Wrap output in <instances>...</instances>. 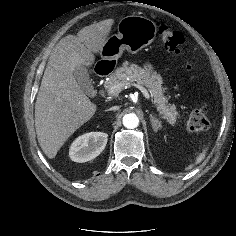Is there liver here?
Instances as JSON below:
<instances>
[{
    "instance_id": "1",
    "label": "liver",
    "mask_w": 236,
    "mask_h": 236,
    "mask_svg": "<svg viewBox=\"0 0 236 236\" xmlns=\"http://www.w3.org/2000/svg\"><path fill=\"white\" fill-rule=\"evenodd\" d=\"M113 19L82 28L77 36L62 38L52 50L35 103V128L39 145L53 159L68 138L89 121L97 105L83 92L74 72L94 64L109 35Z\"/></svg>"
}]
</instances>
